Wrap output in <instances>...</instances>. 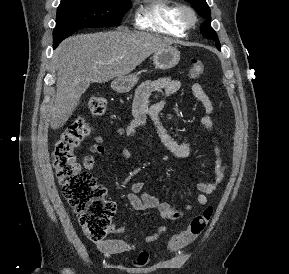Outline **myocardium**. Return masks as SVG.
<instances>
[{
    "instance_id": "obj_1",
    "label": "myocardium",
    "mask_w": 289,
    "mask_h": 274,
    "mask_svg": "<svg viewBox=\"0 0 289 274\" xmlns=\"http://www.w3.org/2000/svg\"><path fill=\"white\" fill-rule=\"evenodd\" d=\"M176 20L182 27L189 29L197 23L198 17L191 6L180 5L176 11Z\"/></svg>"
}]
</instances>
